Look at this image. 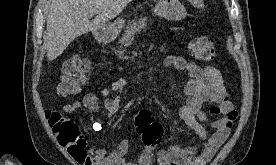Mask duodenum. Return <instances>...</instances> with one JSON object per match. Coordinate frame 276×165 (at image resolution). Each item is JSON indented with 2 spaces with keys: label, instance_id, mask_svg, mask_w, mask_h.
Here are the masks:
<instances>
[{
  "label": "duodenum",
  "instance_id": "410a0bca",
  "mask_svg": "<svg viewBox=\"0 0 276 165\" xmlns=\"http://www.w3.org/2000/svg\"><path fill=\"white\" fill-rule=\"evenodd\" d=\"M99 38L102 42H106L109 40V37L105 34H100Z\"/></svg>",
  "mask_w": 276,
  "mask_h": 165
}]
</instances>
